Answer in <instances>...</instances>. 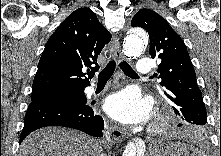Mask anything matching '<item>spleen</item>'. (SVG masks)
I'll return each mask as SVG.
<instances>
[{
	"instance_id": "obj_1",
	"label": "spleen",
	"mask_w": 221,
	"mask_h": 156,
	"mask_svg": "<svg viewBox=\"0 0 221 156\" xmlns=\"http://www.w3.org/2000/svg\"><path fill=\"white\" fill-rule=\"evenodd\" d=\"M178 144L180 145V143H178ZM190 149L194 150L195 153H196V155H198V156H204V153H203L202 151H199V150L194 149V148H192V147H191Z\"/></svg>"
}]
</instances>
